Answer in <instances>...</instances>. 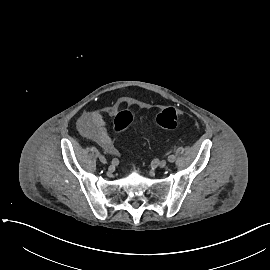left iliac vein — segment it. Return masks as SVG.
I'll list each match as a JSON object with an SVG mask.
<instances>
[{"instance_id":"1","label":"left iliac vein","mask_w":270,"mask_h":270,"mask_svg":"<svg viewBox=\"0 0 270 270\" xmlns=\"http://www.w3.org/2000/svg\"><path fill=\"white\" fill-rule=\"evenodd\" d=\"M166 164H167V161H166V160H161V161L158 163V166H159L160 168H164V167L166 166Z\"/></svg>"}]
</instances>
